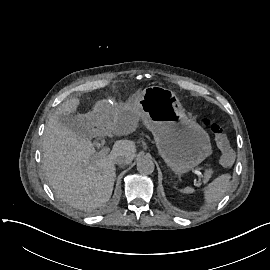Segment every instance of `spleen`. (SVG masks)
<instances>
[{
  "label": "spleen",
  "instance_id": "3e777b00",
  "mask_svg": "<svg viewBox=\"0 0 270 270\" xmlns=\"http://www.w3.org/2000/svg\"><path fill=\"white\" fill-rule=\"evenodd\" d=\"M230 177L231 176L229 174H223L209 183L207 187H205L204 194L207 203L216 202L224 196L229 187ZM193 192L194 189L190 187H186L183 190V193L187 194Z\"/></svg>",
  "mask_w": 270,
  "mask_h": 270
}]
</instances>
